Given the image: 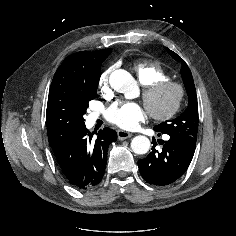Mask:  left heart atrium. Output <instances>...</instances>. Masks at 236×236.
I'll return each instance as SVG.
<instances>
[{
	"mask_svg": "<svg viewBox=\"0 0 236 236\" xmlns=\"http://www.w3.org/2000/svg\"><path fill=\"white\" fill-rule=\"evenodd\" d=\"M145 119V109L133 102L116 103L108 112V120L111 123L127 130L137 128Z\"/></svg>",
	"mask_w": 236,
	"mask_h": 236,
	"instance_id": "1",
	"label": "left heart atrium"
}]
</instances>
